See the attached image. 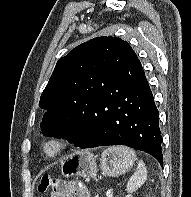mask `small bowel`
Listing matches in <instances>:
<instances>
[{
    "instance_id": "obj_1",
    "label": "small bowel",
    "mask_w": 191,
    "mask_h": 197,
    "mask_svg": "<svg viewBox=\"0 0 191 197\" xmlns=\"http://www.w3.org/2000/svg\"><path fill=\"white\" fill-rule=\"evenodd\" d=\"M50 197H89V194L84 187L67 183L54 191Z\"/></svg>"
}]
</instances>
